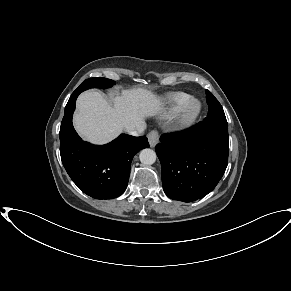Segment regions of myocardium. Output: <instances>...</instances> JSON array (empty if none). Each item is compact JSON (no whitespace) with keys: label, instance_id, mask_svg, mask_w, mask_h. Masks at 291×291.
I'll list each match as a JSON object with an SVG mask.
<instances>
[{"label":"myocardium","instance_id":"myocardium-1","mask_svg":"<svg viewBox=\"0 0 291 291\" xmlns=\"http://www.w3.org/2000/svg\"><path fill=\"white\" fill-rule=\"evenodd\" d=\"M202 112V103L199 99L192 98L179 115V124L181 127L193 125Z\"/></svg>","mask_w":291,"mask_h":291}]
</instances>
